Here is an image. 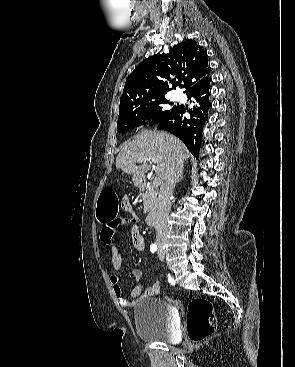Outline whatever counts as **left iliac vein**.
Here are the masks:
<instances>
[{"instance_id": "1", "label": "left iliac vein", "mask_w": 295, "mask_h": 367, "mask_svg": "<svg viewBox=\"0 0 295 367\" xmlns=\"http://www.w3.org/2000/svg\"><path fill=\"white\" fill-rule=\"evenodd\" d=\"M158 257L161 261H163L165 259V254H164V251L162 249L159 250Z\"/></svg>"}]
</instances>
